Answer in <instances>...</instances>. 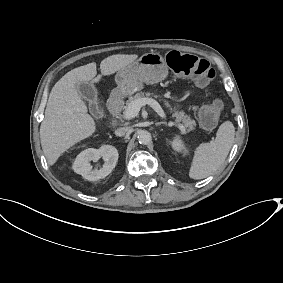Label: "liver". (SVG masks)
Masks as SVG:
<instances>
[{"label":"liver","instance_id":"obj_1","mask_svg":"<svg viewBox=\"0 0 283 283\" xmlns=\"http://www.w3.org/2000/svg\"><path fill=\"white\" fill-rule=\"evenodd\" d=\"M138 54H116L101 61V74L97 63L91 62L67 72L52 88L40 127L41 147L50 166L71 147L94 135L97 124L87 114V106L79 97L78 84H99L103 76H111L133 64Z\"/></svg>","mask_w":283,"mask_h":283}]
</instances>
